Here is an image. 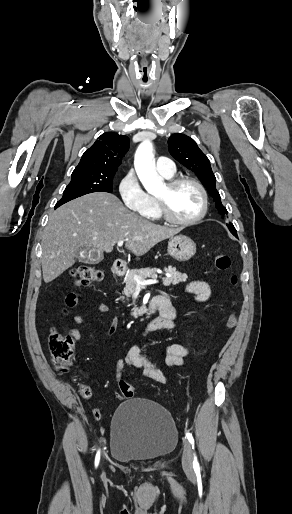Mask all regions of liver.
<instances>
[{"label":"liver","mask_w":292,"mask_h":514,"mask_svg":"<svg viewBox=\"0 0 292 514\" xmlns=\"http://www.w3.org/2000/svg\"><path fill=\"white\" fill-rule=\"evenodd\" d=\"M181 230L144 220L124 208L113 194H86L49 214L41 244L43 280L46 284L52 282L71 268L81 248H98L109 254L117 242L125 240L127 250L143 256Z\"/></svg>","instance_id":"liver-1"}]
</instances>
